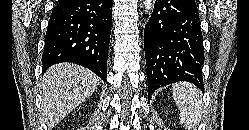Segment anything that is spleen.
Segmentation results:
<instances>
[{"label": "spleen", "mask_w": 249, "mask_h": 130, "mask_svg": "<svg viewBox=\"0 0 249 130\" xmlns=\"http://www.w3.org/2000/svg\"><path fill=\"white\" fill-rule=\"evenodd\" d=\"M172 89L175 103L180 110V122L191 130L200 122L203 115L201 93L189 82L175 83Z\"/></svg>", "instance_id": "obj_1"}]
</instances>
